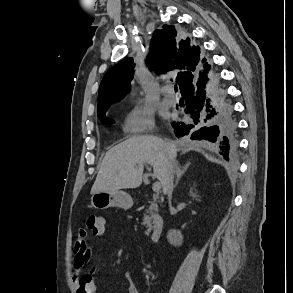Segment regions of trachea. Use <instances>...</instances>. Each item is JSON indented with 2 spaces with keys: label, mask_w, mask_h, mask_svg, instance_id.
Instances as JSON below:
<instances>
[{
  "label": "trachea",
  "mask_w": 293,
  "mask_h": 293,
  "mask_svg": "<svg viewBox=\"0 0 293 293\" xmlns=\"http://www.w3.org/2000/svg\"><path fill=\"white\" fill-rule=\"evenodd\" d=\"M177 90V86H175V91Z\"/></svg>",
  "instance_id": "3493384b"
}]
</instances>
